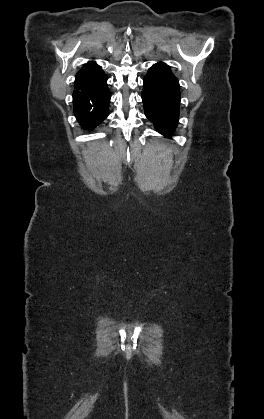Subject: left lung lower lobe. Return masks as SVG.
<instances>
[{
	"mask_svg": "<svg viewBox=\"0 0 264 419\" xmlns=\"http://www.w3.org/2000/svg\"><path fill=\"white\" fill-rule=\"evenodd\" d=\"M142 100L146 117L166 136L174 131L179 117V83L169 67L159 62L144 78Z\"/></svg>",
	"mask_w": 264,
	"mask_h": 419,
	"instance_id": "left-lung-lower-lobe-1",
	"label": "left lung lower lobe"
}]
</instances>
